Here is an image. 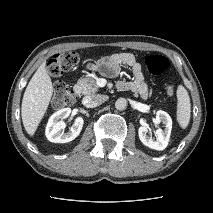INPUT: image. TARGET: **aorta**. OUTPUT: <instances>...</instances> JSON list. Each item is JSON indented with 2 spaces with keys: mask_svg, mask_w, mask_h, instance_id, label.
<instances>
[{
  "mask_svg": "<svg viewBox=\"0 0 213 213\" xmlns=\"http://www.w3.org/2000/svg\"><path fill=\"white\" fill-rule=\"evenodd\" d=\"M115 107L117 110H125L127 107V100L125 98H119L115 102Z\"/></svg>",
  "mask_w": 213,
  "mask_h": 213,
  "instance_id": "762f6f07",
  "label": "aorta"
}]
</instances>
